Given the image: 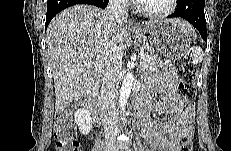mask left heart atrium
<instances>
[{
    "label": "left heart atrium",
    "instance_id": "obj_1",
    "mask_svg": "<svg viewBox=\"0 0 231 151\" xmlns=\"http://www.w3.org/2000/svg\"><path fill=\"white\" fill-rule=\"evenodd\" d=\"M145 1H147V0H135L134 2L135 3H144Z\"/></svg>",
    "mask_w": 231,
    "mask_h": 151
}]
</instances>
